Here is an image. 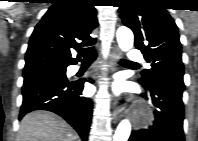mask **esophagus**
<instances>
[{"label":"esophagus","mask_w":198,"mask_h":141,"mask_svg":"<svg viewBox=\"0 0 198 141\" xmlns=\"http://www.w3.org/2000/svg\"><path fill=\"white\" fill-rule=\"evenodd\" d=\"M121 58V52L120 50L116 47L113 49L111 55H110V60H111V65H112V71L118 70V60ZM121 107H117L114 112H113V119L115 121L119 120L122 116L121 114Z\"/></svg>","instance_id":"34e87169"}]
</instances>
